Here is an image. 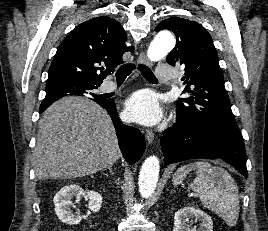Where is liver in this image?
<instances>
[{
	"label": "liver",
	"mask_w": 268,
	"mask_h": 231,
	"mask_svg": "<svg viewBox=\"0 0 268 231\" xmlns=\"http://www.w3.org/2000/svg\"><path fill=\"white\" fill-rule=\"evenodd\" d=\"M120 157L112 120L94 101L65 97L44 111L33 152L38 180L88 176Z\"/></svg>",
	"instance_id": "1"
}]
</instances>
